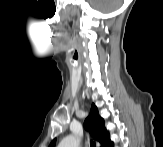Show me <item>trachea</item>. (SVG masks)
Returning <instances> with one entry per match:
<instances>
[{"instance_id":"trachea-1","label":"trachea","mask_w":163,"mask_h":147,"mask_svg":"<svg viewBox=\"0 0 163 147\" xmlns=\"http://www.w3.org/2000/svg\"><path fill=\"white\" fill-rule=\"evenodd\" d=\"M90 144H91V147H95L96 146V144L94 142H92V141H91Z\"/></svg>"}]
</instances>
